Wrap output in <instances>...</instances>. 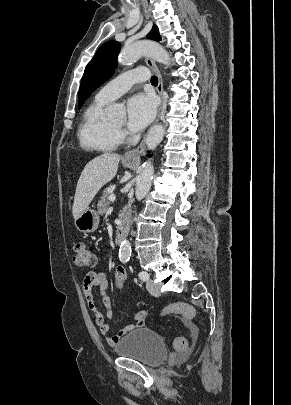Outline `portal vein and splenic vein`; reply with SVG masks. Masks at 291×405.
Wrapping results in <instances>:
<instances>
[{"label": "portal vein and splenic vein", "instance_id": "obj_1", "mask_svg": "<svg viewBox=\"0 0 291 405\" xmlns=\"http://www.w3.org/2000/svg\"><path fill=\"white\" fill-rule=\"evenodd\" d=\"M115 199H116V196H115L114 194H111V195L109 196V200H110V201L114 202Z\"/></svg>", "mask_w": 291, "mask_h": 405}]
</instances>
